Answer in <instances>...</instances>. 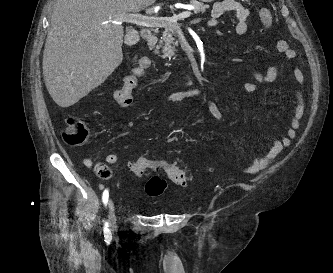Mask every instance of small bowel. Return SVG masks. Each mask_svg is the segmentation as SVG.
<instances>
[{
  "label": "small bowel",
  "instance_id": "obj_1",
  "mask_svg": "<svg viewBox=\"0 0 333 273\" xmlns=\"http://www.w3.org/2000/svg\"><path fill=\"white\" fill-rule=\"evenodd\" d=\"M226 13H233L236 22L233 31L237 35H245L248 33V19L252 12L246 8L239 0H220L216 2L211 10L210 25L215 26L218 24L219 19ZM277 50L284 54L288 59L297 57V52L290 48L285 40H279L276 44ZM143 59L149 60L147 57ZM151 68L150 62H135L132 70L129 72L124 80V84H120V88L114 93V98L117 104L122 108H128L133 104L132 91H138L137 77H143L146 69ZM244 71L252 78V81L242 80L238 83L239 87L248 93H258L261 91L260 85L274 81L279 73L277 66H271L266 71H259L254 68L246 67ZM292 75L297 85H302L304 75L298 66H293ZM122 95H128L127 97ZM202 96V91L198 88H185L182 90L173 91L165 95V100L171 103H179L188 99L197 98ZM207 109L215 121L220 122L223 115L218 107L217 98L212 97L207 99ZM304 117V96L300 87L295 90V107L292 117L286 131V134L281 138H275L272 147L262 156L256 157L252 166L248 168L249 171L256 172L268 167L279 155L282 154L284 149L292 143L296 137V131L300 127L302 118ZM118 157L115 153H109L105 157V163L112 165L116 163ZM139 159H145L141 157ZM83 163L87 167H91L93 162L90 158H84ZM140 176V175H137Z\"/></svg>",
  "mask_w": 333,
  "mask_h": 273
}]
</instances>
